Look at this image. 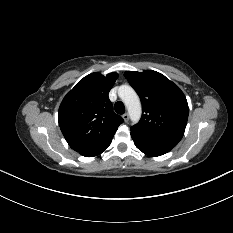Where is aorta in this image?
Segmentation results:
<instances>
[{"label":"aorta","mask_w":233,"mask_h":233,"mask_svg":"<svg viewBox=\"0 0 233 233\" xmlns=\"http://www.w3.org/2000/svg\"><path fill=\"white\" fill-rule=\"evenodd\" d=\"M119 96L128 109L131 120L137 123L140 120L142 108L139 96L135 90L128 85H122L119 88Z\"/></svg>","instance_id":"aorta-1"}]
</instances>
